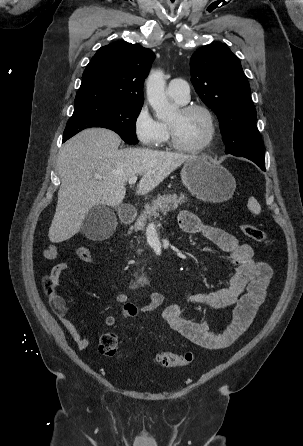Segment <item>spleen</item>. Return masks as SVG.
<instances>
[{"label": "spleen", "mask_w": 303, "mask_h": 446, "mask_svg": "<svg viewBox=\"0 0 303 446\" xmlns=\"http://www.w3.org/2000/svg\"><path fill=\"white\" fill-rule=\"evenodd\" d=\"M248 208L253 214L256 215L260 214L261 212V206L254 197H250L248 199Z\"/></svg>", "instance_id": "3e777b00"}]
</instances>
